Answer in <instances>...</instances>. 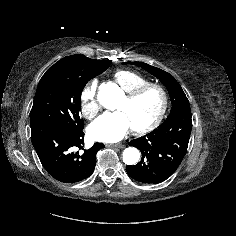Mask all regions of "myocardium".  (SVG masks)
<instances>
[{"label": "myocardium", "mask_w": 236, "mask_h": 236, "mask_svg": "<svg viewBox=\"0 0 236 236\" xmlns=\"http://www.w3.org/2000/svg\"><path fill=\"white\" fill-rule=\"evenodd\" d=\"M150 89H155L160 93L162 99L161 107L153 121H151L145 126L132 128L133 132L136 134H145L151 132L160 125L168 108V102H169L168 93L162 85L149 82L126 92L124 95L126 101H133Z\"/></svg>", "instance_id": "obj_1"}]
</instances>
